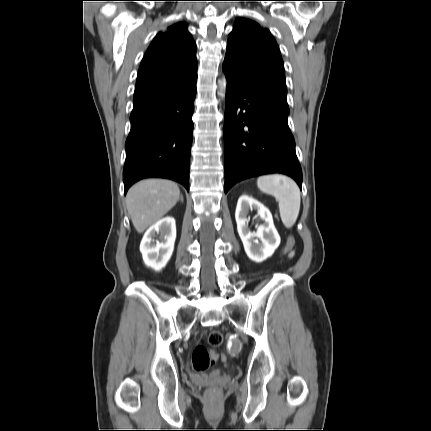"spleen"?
Segmentation results:
<instances>
[{
  "mask_svg": "<svg viewBox=\"0 0 431 431\" xmlns=\"http://www.w3.org/2000/svg\"><path fill=\"white\" fill-rule=\"evenodd\" d=\"M257 187L278 200L281 220L286 228H291L300 210L301 198L297 184L286 176L274 174L259 177Z\"/></svg>",
  "mask_w": 431,
  "mask_h": 431,
  "instance_id": "spleen-1",
  "label": "spleen"
}]
</instances>
